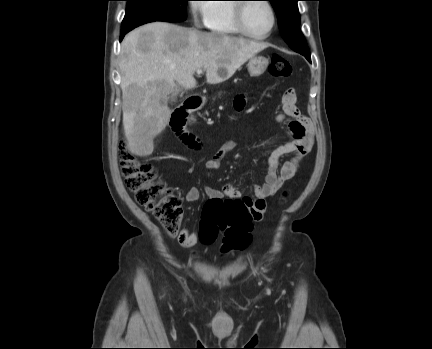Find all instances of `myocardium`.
Instances as JSON below:
<instances>
[{
  "instance_id": "f54148a6",
  "label": "myocardium",
  "mask_w": 432,
  "mask_h": 349,
  "mask_svg": "<svg viewBox=\"0 0 432 349\" xmlns=\"http://www.w3.org/2000/svg\"><path fill=\"white\" fill-rule=\"evenodd\" d=\"M245 2H240L238 4L234 5V11H233V20H234V24L237 28V30L244 36H247L251 39H255V40H265L267 39L275 30L276 26H277V13L275 10V7L273 6V4L269 1V0H260L262 3H264L270 10L271 15H272V24L270 29L263 35H256L252 32H250L246 26L245 23V11L246 8L248 7L249 4H251L252 2H250V0H242Z\"/></svg>"
}]
</instances>
